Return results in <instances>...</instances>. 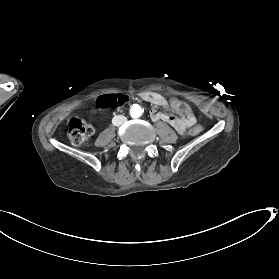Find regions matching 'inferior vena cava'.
<instances>
[{
	"instance_id": "obj_1",
	"label": "inferior vena cava",
	"mask_w": 279,
	"mask_h": 279,
	"mask_svg": "<svg viewBox=\"0 0 279 279\" xmlns=\"http://www.w3.org/2000/svg\"><path fill=\"white\" fill-rule=\"evenodd\" d=\"M127 121V118L122 116V115H118L112 119V123L115 125V126H119L121 124H124L125 122Z\"/></svg>"
}]
</instances>
